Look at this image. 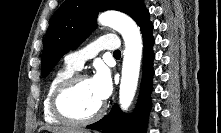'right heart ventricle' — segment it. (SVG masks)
Here are the masks:
<instances>
[{"mask_svg": "<svg viewBox=\"0 0 221 133\" xmlns=\"http://www.w3.org/2000/svg\"><path fill=\"white\" fill-rule=\"evenodd\" d=\"M75 71L76 70L74 68L65 64L63 67L58 69L54 73V75L51 77L47 85L44 98H43V103H42L43 117L47 123H50V124L62 123V121L58 119L57 117H55L54 114L52 113L51 105H50L51 96H52L54 89L58 86V84L61 83L66 78L72 76L75 73Z\"/></svg>", "mask_w": 221, "mask_h": 133, "instance_id": "e07e8e85", "label": "right heart ventricle"}]
</instances>
